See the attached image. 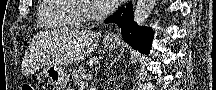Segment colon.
I'll return each mask as SVG.
<instances>
[{
    "label": "colon",
    "mask_w": 216,
    "mask_h": 90,
    "mask_svg": "<svg viewBox=\"0 0 216 90\" xmlns=\"http://www.w3.org/2000/svg\"><path fill=\"white\" fill-rule=\"evenodd\" d=\"M22 90H35L34 87L30 84H24Z\"/></svg>",
    "instance_id": "colon-1"
}]
</instances>
